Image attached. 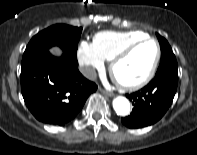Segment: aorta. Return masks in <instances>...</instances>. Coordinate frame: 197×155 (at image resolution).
I'll return each mask as SVG.
<instances>
[{
	"mask_svg": "<svg viewBox=\"0 0 197 155\" xmlns=\"http://www.w3.org/2000/svg\"><path fill=\"white\" fill-rule=\"evenodd\" d=\"M113 108L117 115L126 116L130 112V103L125 97L118 96L113 100Z\"/></svg>",
	"mask_w": 197,
	"mask_h": 155,
	"instance_id": "aorta-1",
	"label": "aorta"
}]
</instances>
